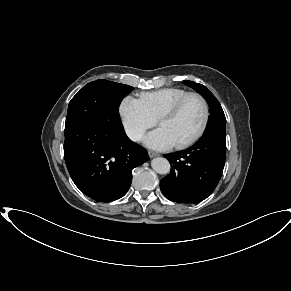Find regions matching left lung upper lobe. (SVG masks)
Here are the masks:
<instances>
[{
	"instance_id": "obj_1",
	"label": "left lung upper lobe",
	"mask_w": 291,
	"mask_h": 291,
	"mask_svg": "<svg viewBox=\"0 0 291 291\" xmlns=\"http://www.w3.org/2000/svg\"><path fill=\"white\" fill-rule=\"evenodd\" d=\"M184 82L203 96L209 104L210 116L204 134L214 132L226 133V118L223 109L215 96L202 84L193 81Z\"/></svg>"
}]
</instances>
